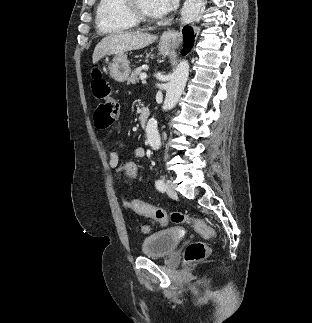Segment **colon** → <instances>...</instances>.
<instances>
[{"instance_id": "obj_1", "label": "colon", "mask_w": 312, "mask_h": 323, "mask_svg": "<svg viewBox=\"0 0 312 323\" xmlns=\"http://www.w3.org/2000/svg\"><path fill=\"white\" fill-rule=\"evenodd\" d=\"M92 93L99 104L96 107L94 113L95 116V126L98 130H105L109 127L115 119L119 116L120 106L116 98L112 94V88L108 81L102 78H93L91 83ZM124 171L127 175H132L135 177L138 170L135 166L134 161H129L128 164H124ZM132 204L133 213H155L154 218L157 220L160 227H165L168 225L167 214L162 211L161 206H152L151 202H136L134 197L129 199ZM172 223L181 224L186 222L191 225L194 231L203 233L209 237L214 236V231L211 230L200 218H193L187 213L183 212H173L171 214ZM142 232H149V226H143L141 228ZM208 253V248L203 242H194L187 246L185 250V260L187 262H200L204 260Z\"/></svg>"}]
</instances>
